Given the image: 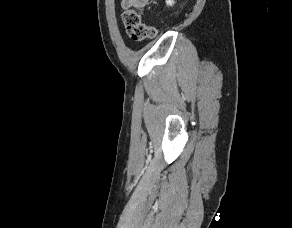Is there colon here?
I'll return each mask as SVG.
<instances>
[{"label":"colon","mask_w":292,"mask_h":228,"mask_svg":"<svg viewBox=\"0 0 292 228\" xmlns=\"http://www.w3.org/2000/svg\"><path fill=\"white\" fill-rule=\"evenodd\" d=\"M122 18L128 36L134 41L152 39L158 34L155 27L147 26L142 22L139 10L127 9Z\"/></svg>","instance_id":"colon-1"}]
</instances>
